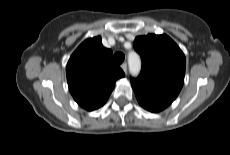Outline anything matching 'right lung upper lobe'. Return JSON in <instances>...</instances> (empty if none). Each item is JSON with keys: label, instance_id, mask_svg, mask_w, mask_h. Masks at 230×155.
Listing matches in <instances>:
<instances>
[{"label": "right lung upper lobe", "instance_id": "obj_1", "mask_svg": "<svg viewBox=\"0 0 230 155\" xmlns=\"http://www.w3.org/2000/svg\"><path fill=\"white\" fill-rule=\"evenodd\" d=\"M69 91L84 109L103 106L115 82L125 76L112 60V51L102 45L101 37L86 39L71 55L66 66Z\"/></svg>", "mask_w": 230, "mask_h": 155}]
</instances>
